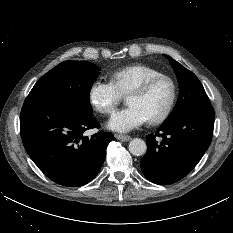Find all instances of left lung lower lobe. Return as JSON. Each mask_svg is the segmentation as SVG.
Segmentation results:
<instances>
[{"label":"left lung lower lobe","mask_w":233,"mask_h":233,"mask_svg":"<svg viewBox=\"0 0 233 233\" xmlns=\"http://www.w3.org/2000/svg\"><path fill=\"white\" fill-rule=\"evenodd\" d=\"M214 109L192 110L180 118L163 123L146 137L147 153L140 165L145 177L159 185L184 178L200 161L213 135ZM162 137L158 142L156 137Z\"/></svg>","instance_id":"left-lung-lower-lobe-1"}]
</instances>
